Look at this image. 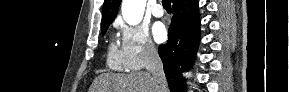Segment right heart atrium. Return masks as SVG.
Returning a JSON list of instances; mask_svg holds the SVG:
<instances>
[{"mask_svg": "<svg viewBox=\"0 0 289 92\" xmlns=\"http://www.w3.org/2000/svg\"><path fill=\"white\" fill-rule=\"evenodd\" d=\"M117 27L121 36L120 53L126 69L140 70L157 58V49L144 26L118 22Z\"/></svg>", "mask_w": 289, "mask_h": 92, "instance_id": "right-heart-atrium-1", "label": "right heart atrium"}]
</instances>
